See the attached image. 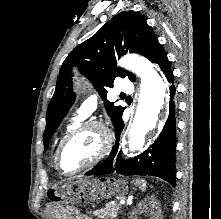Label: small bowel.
<instances>
[{"mask_svg": "<svg viewBox=\"0 0 221 219\" xmlns=\"http://www.w3.org/2000/svg\"><path fill=\"white\" fill-rule=\"evenodd\" d=\"M70 214L72 215L73 219H92L86 215L79 214L76 210H72ZM63 217L64 219H71V217L67 214H64Z\"/></svg>", "mask_w": 221, "mask_h": 219, "instance_id": "1", "label": "small bowel"}]
</instances>
